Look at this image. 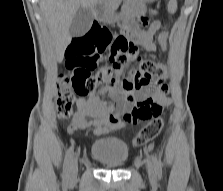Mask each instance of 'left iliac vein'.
<instances>
[{
	"label": "left iliac vein",
	"instance_id": "4c4485c4",
	"mask_svg": "<svg viewBox=\"0 0 223 191\" xmlns=\"http://www.w3.org/2000/svg\"><path fill=\"white\" fill-rule=\"evenodd\" d=\"M146 168H147V172H148L149 178L152 181H155L156 180V175H155V172H154L153 164L150 161H147Z\"/></svg>",
	"mask_w": 223,
	"mask_h": 191
}]
</instances>
